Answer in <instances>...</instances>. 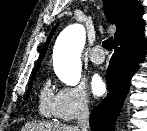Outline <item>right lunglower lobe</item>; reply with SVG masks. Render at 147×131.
<instances>
[{"mask_svg":"<svg viewBox=\"0 0 147 131\" xmlns=\"http://www.w3.org/2000/svg\"><path fill=\"white\" fill-rule=\"evenodd\" d=\"M115 52L106 72L107 97L90 115L93 131H113L114 123L130 87V80L145 56L144 30L114 43Z\"/></svg>","mask_w":147,"mask_h":131,"instance_id":"obj_1","label":"right lung lower lobe"}]
</instances>
